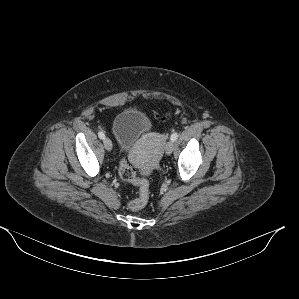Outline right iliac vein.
<instances>
[{"label": "right iliac vein", "instance_id": "63e3f726", "mask_svg": "<svg viewBox=\"0 0 299 299\" xmlns=\"http://www.w3.org/2000/svg\"><path fill=\"white\" fill-rule=\"evenodd\" d=\"M104 147L107 151H111L113 148L112 142L109 138H104L103 140Z\"/></svg>", "mask_w": 299, "mask_h": 299}]
</instances>
